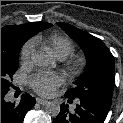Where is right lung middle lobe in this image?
Instances as JSON below:
<instances>
[{"label":"right lung middle lobe","instance_id":"obj_1","mask_svg":"<svg viewBox=\"0 0 123 123\" xmlns=\"http://www.w3.org/2000/svg\"><path fill=\"white\" fill-rule=\"evenodd\" d=\"M26 40L17 41L10 49H1V92H7L12 85L10 80L18 69V54Z\"/></svg>","mask_w":123,"mask_h":123}]
</instances>
